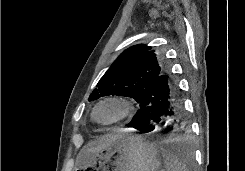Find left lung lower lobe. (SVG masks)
Masks as SVG:
<instances>
[{"instance_id":"0a47b994","label":"left lung lower lobe","mask_w":245,"mask_h":171,"mask_svg":"<svg viewBox=\"0 0 245 171\" xmlns=\"http://www.w3.org/2000/svg\"><path fill=\"white\" fill-rule=\"evenodd\" d=\"M140 109L134 115L129 127L140 133H148L154 125L186 127L185 111L177 83L163 72L143 91L139 101Z\"/></svg>"}]
</instances>
